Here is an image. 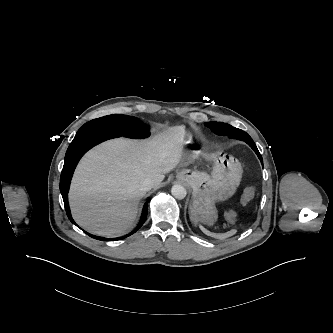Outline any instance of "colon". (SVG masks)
I'll list each match as a JSON object with an SVG mask.
<instances>
[{"label":"colon","mask_w":333,"mask_h":333,"mask_svg":"<svg viewBox=\"0 0 333 333\" xmlns=\"http://www.w3.org/2000/svg\"><path fill=\"white\" fill-rule=\"evenodd\" d=\"M255 193H256L255 187L250 186V187L246 188L243 191V194L241 196V203L242 204L248 203L254 197ZM226 218L231 223L235 222L236 218H237L236 212L235 211H228L226 213Z\"/></svg>","instance_id":"obj_1"}]
</instances>
